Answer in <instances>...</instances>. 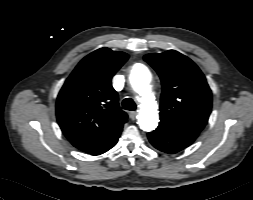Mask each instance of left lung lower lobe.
Returning <instances> with one entry per match:
<instances>
[{
    "label": "left lung lower lobe",
    "instance_id": "1",
    "mask_svg": "<svg viewBox=\"0 0 253 200\" xmlns=\"http://www.w3.org/2000/svg\"><path fill=\"white\" fill-rule=\"evenodd\" d=\"M198 135L196 130L160 121L157 129L148 133V139L156 149L172 154L191 145Z\"/></svg>",
    "mask_w": 253,
    "mask_h": 200
}]
</instances>
